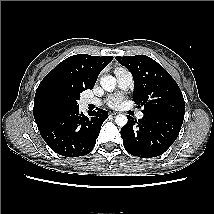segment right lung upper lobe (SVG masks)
Listing matches in <instances>:
<instances>
[{
	"label": "right lung upper lobe",
	"instance_id": "1",
	"mask_svg": "<svg viewBox=\"0 0 214 214\" xmlns=\"http://www.w3.org/2000/svg\"><path fill=\"white\" fill-rule=\"evenodd\" d=\"M112 59L111 56L77 54L63 60L50 71L39 84L34 98L33 114L37 126L61 111L48 102L47 95L51 90L60 88L82 92L92 89L99 73Z\"/></svg>",
	"mask_w": 214,
	"mask_h": 214
}]
</instances>
